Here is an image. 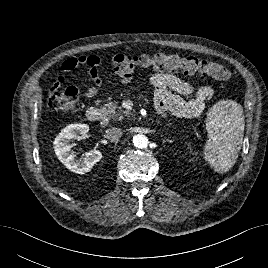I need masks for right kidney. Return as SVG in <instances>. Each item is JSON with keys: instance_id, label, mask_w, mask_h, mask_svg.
<instances>
[{"instance_id": "obj_1", "label": "right kidney", "mask_w": 268, "mask_h": 268, "mask_svg": "<svg viewBox=\"0 0 268 268\" xmlns=\"http://www.w3.org/2000/svg\"><path fill=\"white\" fill-rule=\"evenodd\" d=\"M88 131L89 126L86 124H70L59 133L53 142L54 152L58 159L66 168L77 174H85L91 171L93 166L102 159V153L99 150H91L85 154L83 159H75L76 154L71 151L70 140L79 135H84Z\"/></svg>"}]
</instances>
